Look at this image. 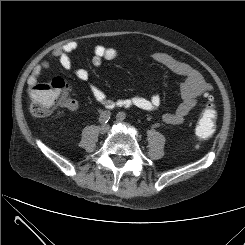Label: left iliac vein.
<instances>
[{"mask_svg":"<svg viewBox=\"0 0 245 245\" xmlns=\"http://www.w3.org/2000/svg\"><path fill=\"white\" fill-rule=\"evenodd\" d=\"M116 122H118V123H123V119L117 117V118H116ZM127 126H128V125H127Z\"/></svg>","mask_w":245,"mask_h":245,"instance_id":"1","label":"left iliac vein"}]
</instances>
